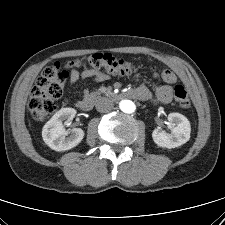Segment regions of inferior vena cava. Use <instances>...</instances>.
Returning a JSON list of instances; mask_svg holds the SVG:
<instances>
[{
	"instance_id": "602c4592",
	"label": "inferior vena cava",
	"mask_w": 225,
	"mask_h": 225,
	"mask_svg": "<svg viewBox=\"0 0 225 225\" xmlns=\"http://www.w3.org/2000/svg\"><path fill=\"white\" fill-rule=\"evenodd\" d=\"M113 106V101L106 97L99 98L96 102L97 111L102 113L110 111Z\"/></svg>"
}]
</instances>
